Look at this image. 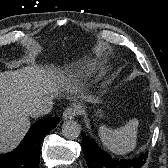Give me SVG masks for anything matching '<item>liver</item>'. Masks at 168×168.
Returning <instances> with one entry per match:
<instances>
[{
  "label": "liver",
  "mask_w": 168,
  "mask_h": 168,
  "mask_svg": "<svg viewBox=\"0 0 168 168\" xmlns=\"http://www.w3.org/2000/svg\"><path fill=\"white\" fill-rule=\"evenodd\" d=\"M64 90L77 92L72 81L53 67L29 65L0 72V153L13 150L23 139L36 104L60 96Z\"/></svg>",
  "instance_id": "liver-1"
}]
</instances>
